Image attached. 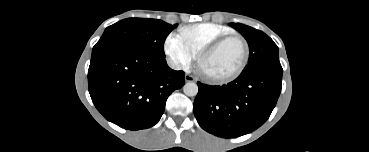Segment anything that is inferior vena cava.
Here are the masks:
<instances>
[{
	"mask_svg": "<svg viewBox=\"0 0 369 152\" xmlns=\"http://www.w3.org/2000/svg\"><path fill=\"white\" fill-rule=\"evenodd\" d=\"M168 65L174 69V70H180L182 68V66L178 63H176L175 61H172V60H168Z\"/></svg>",
	"mask_w": 369,
	"mask_h": 152,
	"instance_id": "inferior-vena-cava-1",
	"label": "inferior vena cava"
}]
</instances>
